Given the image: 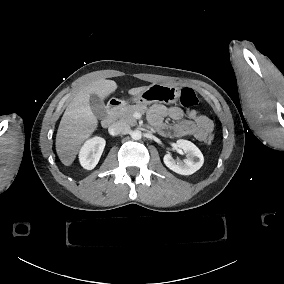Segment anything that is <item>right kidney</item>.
<instances>
[{
	"mask_svg": "<svg viewBox=\"0 0 284 284\" xmlns=\"http://www.w3.org/2000/svg\"><path fill=\"white\" fill-rule=\"evenodd\" d=\"M105 147L102 138H94L87 142L80 152V161L84 168L92 170L96 167Z\"/></svg>",
	"mask_w": 284,
	"mask_h": 284,
	"instance_id": "ca27d5eb",
	"label": "right kidney"
}]
</instances>
